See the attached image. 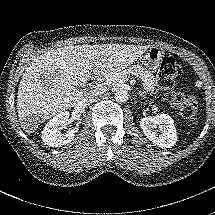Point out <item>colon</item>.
<instances>
[{"label": "colon", "instance_id": "obj_1", "mask_svg": "<svg viewBox=\"0 0 215 215\" xmlns=\"http://www.w3.org/2000/svg\"><path fill=\"white\" fill-rule=\"evenodd\" d=\"M177 70L178 63L174 57L164 58L158 71L157 83L175 109L180 111L185 117H192L196 113L195 100L173 89Z\"/></svg>", "mask_w": 215, "mask_h": 215}]
</instances>
